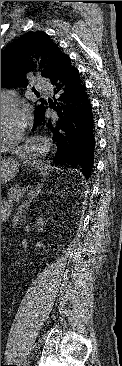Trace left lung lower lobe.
<instances>
[{"instance_id":"left-lung-lower-lobe-1","label":"left lung lower lobe","mask_w":122,"mask_h":366,"mask_svg":"<svg viewBox=\"0 0 122 366\" xmlns=\"http://www.w3.org/2000/svg\"><path fill=\"white\" fill-rule=\"evenodd\" d=\"M48 99L42 100L35 110V124L45 122V106L48 103L54 116L47 126L59 146L54 158L61 166L68 165L88 178L94 164L96 150V127L93 107L85 83L69 56L50 73Z\"/></svg>"}]
</instances>
